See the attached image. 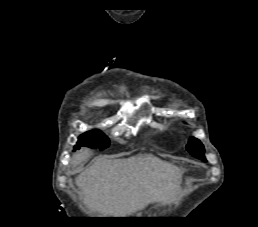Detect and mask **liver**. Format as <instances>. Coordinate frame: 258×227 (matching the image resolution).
I'll return each mask as SVG.
<instances>
[{"label": "liver", "mask_w": 258, "mask_h": 227, "mask_svg": "<svg viewBox=\"0 0 258 227\" xmlns=\"http://www.w3.org/2000/svg\"><path fill=\"white\" fill-rule=\"evenodd\" d=\"M90 154L87 148L75 152L72 165H79ZM180 178L177 166L156 157L110 159L102 156L77 176L76 184L92 211L121 217L150 203H167L178 190Z\"/></svg>", "instance_id": "obj_1"}]
</instances>
